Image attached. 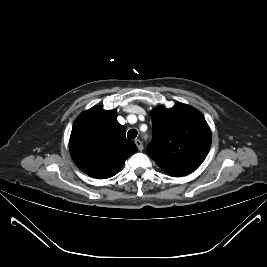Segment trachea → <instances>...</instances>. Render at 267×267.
<instances>
[{"label": "trachea", "instance_id": "obj_1", "mask_svg": "<svg viewBox=\"0 0 267 267\" xmlns=\"http://www.w3.org/2000/svg\"><path fill=\"white\" fill-rule=\"evenodd\" d=\"M137 134H138V132H137L136 129H130V130L128 131V133H127V137H128L129 139H135L136 136H137Z\"/></svg>", "mask_w": 267, "mask_h": 267}]
</instances>
